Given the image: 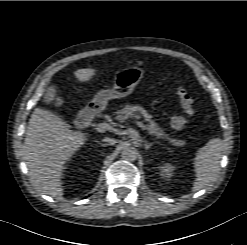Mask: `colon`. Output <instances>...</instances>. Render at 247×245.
<instances>
[{
	"mask_svg": "<svg viewBox=\"0 0 247 245\" xmlns=\"http://www.w3.org/2000/svg\"><path fill=\"white\" fill-rule=\"evenodd\" d=\"M177 95L179 99V104L183 110L182 115H175L170 119V126L173 129H182L186 126L190 117L193 116L195 109H194V100L187 89L179 85L177 89Z\"/></svg>",
	"mask_w": 247,
	"mask_h": 245,
	"instance_id": "1",
	"label": "colon"
}]
</instances>
